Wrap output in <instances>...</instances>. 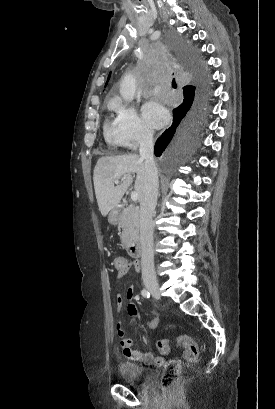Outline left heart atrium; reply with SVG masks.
<instances>
[{"label": "left heart atrium", "instance_id": "1", "mask_svg": "<svg viewBox=\"0 0 275 409\" xmlns=\"http://www.w3.org/2000/svg\"><path fill=\"white\" fill-rule=\"evenodd\" d=\"M143 111L146 118L155 127H162L169 122V114L160 103L148 102Z\"/></svg>", "mask_w": 275, "mask_h": 409}]
</instances>
